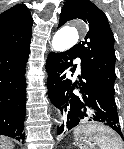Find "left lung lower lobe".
<instances>
[{"instance_id": "0a47b994", "label": "left lung lower lobe", "mask_w": 124, "mask_h": 149, "mask_svg": "<svg viewBox=\"0 0 124 149\" xmlns=\"http://www.w3.org/2000/svg\"><path fill=\"white\" fill-rule=\"evenodd\" d=\"M78 56L70 49L62 53H50L46 62L48 73L47 87L48 97L52 104L65 112L68 130L77 126L80 119L87 117L88 109H94L93 120L103 123L114 130L124 140L117 107L114 99V91L100 82L92 79L83 64L81 75L72 83L67 78L68 71L74 72L73 60ZM75 88H80V96L73 93ZM58 134L64 130V124L58 127Z\"/></svg>"}]
</instances>
